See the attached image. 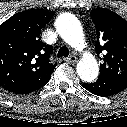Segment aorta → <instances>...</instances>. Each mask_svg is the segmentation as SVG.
Instances as JSON below:
<instances>
[{
    "instance_id": "aorta-1",
    "label": "aorta",
    "mask_w": 127,
    "mask_h": 127,
    "mask_svg": "<svg viewBox=\"0 0 127 127\" xmlns=\"http://www.w3.org/2000/svg\"><path fill=\"white\" fill-rule=\"evenodd\" d=\"M56 28L66 43L77 50L84 47L82 27L75 16L69 13L60 15L56 20ZM77 73L85 82L94 81L99 73L98 63L90 53H84L77 64Z\"/></svg>"
}]
</instances>
